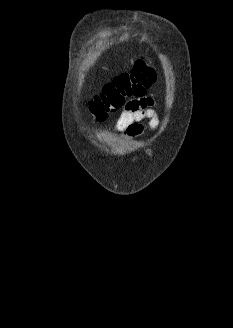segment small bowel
Wrapping results in <instances>:
<instances>
[{"label": "small bowel", "mask_w": 233, "mask_h": 328, "mask_svg": "<svg viewBox=\"0 0 233 328\" xmlns=\"http://www.w3.org/2000/svg\"><path fill=\"white\" fill-rule=\"evenodd\" d=\"M155 101L152 97H139L127 102L117 118L114 131L129 138H137L143 134L144 120L149 122V127L155 130L159 125V118L155 111Z\"/></svg>", "instance_id": "small-bowel-1"}]
</instances>
